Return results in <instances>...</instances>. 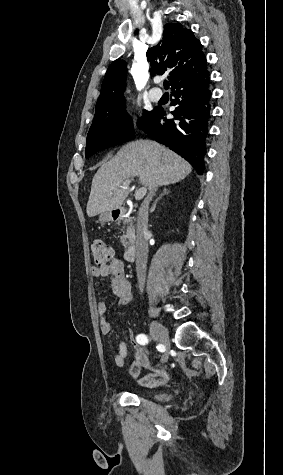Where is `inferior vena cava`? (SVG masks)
<instances>
[{
	"label": "inferior vena cava",
	"mask_w": 283,
	"mask_h": 475,
	"mask_svg": "<svg viewBox=\"0 0 283 475\" xmlns=\"http://www.w3.org/2000/svg\"><path fill=\"white\" fill-rule=\"evenodd\" d=\"M156 188H150L147 198H145L141 208H139L137 230H136V271L138 279V287L140 291H144L146 279V265L148 257L147 243V224H148V208L152 196H155Z\"/></svg>",
	"instance_id": "inferior-vena-cava-1"
}]
</instances>
